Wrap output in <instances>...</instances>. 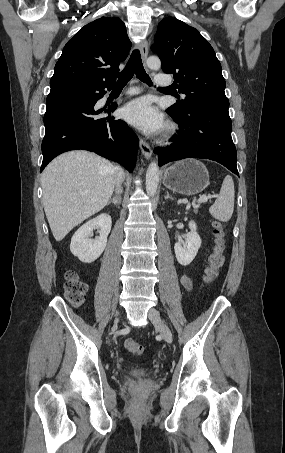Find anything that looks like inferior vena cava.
Segmentation results:
<instances>
[{"label": "inferior vena cava", "instance_id": "602c4592", "mask_svg": "<svg viewBox=\"0 0 285 453\" xmlns=\"http://www.w3.org/2000/svg\"><path fill=\"white\" fill-rule=\"evenodd\" d=\"M116 169H117V180H116V192L119 194L120 192H122V189H121V184H122V181H123V177H124V172H123V169L119 166H116Z\"/></svg>", "mask_w": 285, "mask_h": 453}]
</instances>
